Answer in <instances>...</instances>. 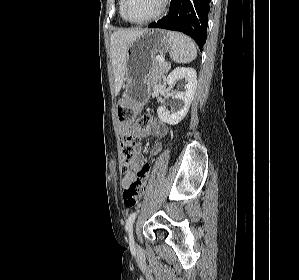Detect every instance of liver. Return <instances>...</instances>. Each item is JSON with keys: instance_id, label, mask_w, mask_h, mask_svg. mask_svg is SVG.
<instances>
[{"instance_id": "obj_1", "label": "liver", "mask_w": 299, "mask_h": 280, "mask_svg": "<svg viewBox=\"0 0 299 280\" xmlns=\"http://www.w3.org/2000/svg\"><path fill=\"white\" fill-rule=\"evenodd\" d=\"M145 30H118L110 38V57L115 78L114 88L117 95L125 81L126 51L130 42L136 39Z\"/></svg>"}]
</instances>
